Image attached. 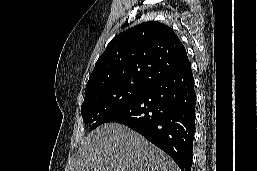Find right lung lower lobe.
Returning <instances> with one entry per match:
<instances>
[{"instance_id": "right-lung-lower-lobe-1", "label": "right lung lower lobe", "mask_w": 257, "mask_h": 171, "mask_svg": "<svg viewBox=\"0 0 257 171\" xmlns=\"http://www.w3.org/2000/svg\"><path fill=\"white\" fill-rule=\"evenodd\" d=\"M194 78L191 64L149 84L107 122L124 124L165 151L190 171L195 131Z\"/></svg>"}]
</instances>
